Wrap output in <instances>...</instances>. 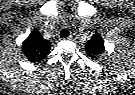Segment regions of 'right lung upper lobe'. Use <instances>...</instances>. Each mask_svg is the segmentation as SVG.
Masks as SVG:
<instances>
[{
	"label": "right lung upper lobe",
	"instance_id": "cb5924a9",
	"mask_svg": "<svg viewBox=\"0 0 135 95\" xmlns=\"http://www.w3.org/2000/svg\"><path fill=\"white\" fill-rule=\"evenodd\" d=\"M51 44L44 39L40 32L35 28L29 34L27 39L22 43V51L28 61L39 62L49 53Z\"/></svg>",
	"mask_w": 135,
	"mask_h": 95
}]
</instances>
